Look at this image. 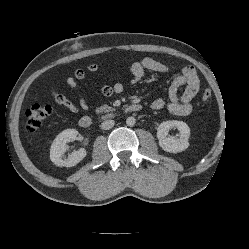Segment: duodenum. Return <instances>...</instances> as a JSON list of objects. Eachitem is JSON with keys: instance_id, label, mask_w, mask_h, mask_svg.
<instances>
[{"instance_id": "obj_1", "label": "duodenum", "mask_w": 249, "mask_h": 249, "mask_svg": "<svg viewBox=\"0 0 249 249\" xmlns=\"http://www.w3.org/2000/svg\"><path fill=\"white\" fill-rule=\"evenodd\" d=\"M142 110V106L141 104L138 103H134V104H130L128 105L125 109H124V113H133V112H139ZM117 116V113L115 112H110L106 115H104V118H115ZM93 125V120L91 117L89 116H83L80 118L79 120V126L83 129H87L90 128Z\"/></svg>"}]
</instances>
